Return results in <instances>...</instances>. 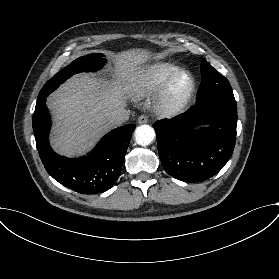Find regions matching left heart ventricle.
<instances>
[{"label":"left heart ventricle","mask_w":279,"mask_h":279,"mask_svg":"<svg viewBox=\"0 0 279 279\" xmlns=\"http://www.w3.org/2000/svg\"><path fill=\"white\" fill-rule=\"evenodd\" d=\"M189 88V79L187 76L182 75L174 85L173 93L176 97H180L186 93Z\"/></svg>","instance_id":"1"}]
</instances>
